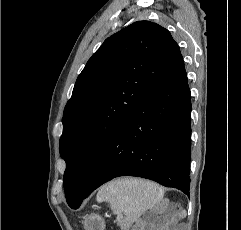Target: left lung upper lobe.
<instances>
[{
  "label": "left lung upper lobe",
  "mask_w": 241,
  "mask_h": 230,
  "mask_svg": "<svg viewBox=\"0 0 241 230\" xmlns=\"http://www.w3.org/2000/svg\"><path fill=\"white\" fill-rule=\"evenodd\" d=\"M183 62L170 32L137 21L107 38L78 76L63 115L60 154L69 206L91 183L102 149Z\"/></svg>",
  "instance_id": "obj_1"
}]
</instances>
